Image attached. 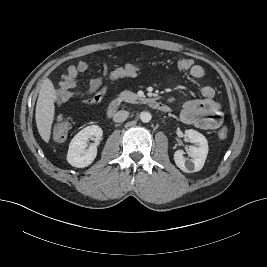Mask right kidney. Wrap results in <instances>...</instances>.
<instances>
[{
  "mask_svg": "<svg viewBox=\"0 0 267 267\" xmlns=\"http://www.w3.org/2000/svg\"><path fill=\"white\" fill-rule=\"evenodd\" d=\"M103 135L102 129L98 125L85 127L78 132L70 142L67 161L70 165L77 168H84L90 165L97 155V145ZM88 139L95 140L87 148Z\"/></svg>",
  "mask_w": 267,
  "mask_h": 267,
  "instance_id": "right-kidney-1",
  "label": "right kidney"
}]
</instances>
